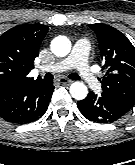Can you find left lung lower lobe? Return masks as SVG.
Segmentation results:
<instances>
[{
	"label": "left lung lower lobe",
	"instance_id": "obj_1",
	"mask_svg": "<svg viewBox=\"0 0 135 165\" xmlns=\"http://www.w3.org/2000/svg\"><path fill=\"white\" fill-rule=\"evenodd\" d=\"M77 106L86 119L99 123L114 122L128 112L110 97L104 94L96 95L93 92H90L85 99L78 101Z\"/></svg>",
	"mask_w": 135,
	"mask_h": 165
}]
</instances>
